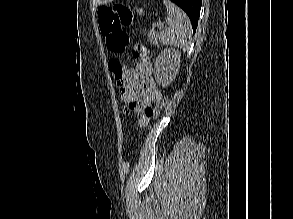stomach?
<instances>
[{"mask_svg": "<svg viewBox=\"0 0 293 219\" xmlns=\"http://www.w3.org/2000/svg\"><path fill=\"white\" fill-rule=\"evenodd\" d=\"M137 12L139 15H144V10L141 8V9H137Z\"/></svg>", "mask_w": 293, "mask_h": 219, "instance_id": "stomach-1", "label": "stomach"}]
</instances>
